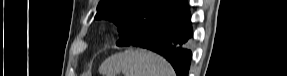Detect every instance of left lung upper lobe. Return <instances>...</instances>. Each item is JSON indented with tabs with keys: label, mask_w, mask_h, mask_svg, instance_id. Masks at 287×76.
Returning a JSON list of instances; mask_svg holds the SVG:
<instances>
[{
	"label": "left lung upper lobe",
	"mask_w": 287,
	"mask_h": 76,
	"mask_svg": "<svg viewBox=\"0 0 287 76\" xmlns=\"http://www.w3.org/2000/svg\"><path fill=\"white\" fill-rule=\"evenodd\" d=\"M185 4L186 0H101L95 19L113 21L120 35L117 46H128Z\"/></svg>",
	"instance_id": "1"
}]
</instances>
